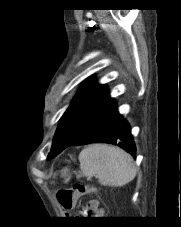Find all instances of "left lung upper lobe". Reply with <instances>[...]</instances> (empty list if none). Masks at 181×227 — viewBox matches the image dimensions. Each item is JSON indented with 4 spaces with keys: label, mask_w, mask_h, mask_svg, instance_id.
<instances>
[{
    "label": "left lung upper lobe",
    "mask_w": 181,
    "mask_h": 227,
    "mask_svg": "<svg viewBox=\"0 0 181 227\" xmlns=\"http://www.w3.org/2000/svg\"><path fill=\"white\" fill-rule=\"evenodd\" d=\"M108 98L109 92L104 85L88 81L82 86L60 119L48 159L63 151L80 134L93 113Z\"/></svg>",
    "instance_id": "1"
}]
</instances>
